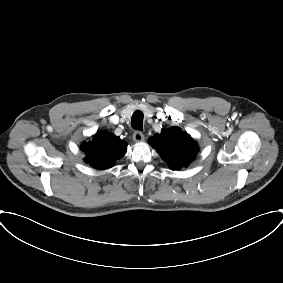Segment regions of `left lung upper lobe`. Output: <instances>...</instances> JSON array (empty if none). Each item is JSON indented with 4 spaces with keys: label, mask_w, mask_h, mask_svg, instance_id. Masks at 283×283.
<instances>
[{
    "label": "left lung upper lobe",
    "mask_w": 283,
    "mask_h": 283,
    "mask_svg": "<svg viewBox=\"0 0 283 283\" xmlns=\"http://www.w3.org/2000/svg\"><path fill=\"white\" fill-rule=\"evenodd\" d=\"M149 143L157 148L172 170L188 166L197 152L191 136L178 127L163 129L161 134L150 138Z\"/></svg>",
    "instance_id": "5c2ea615"
}]
</instances>
